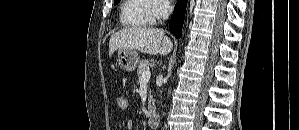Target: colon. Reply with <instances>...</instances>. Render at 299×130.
Instances as JSON below:
<instances>
[{
	"mask_svg": "<svg viewBox=\"0 0 299 130\" xmlns=\"http://www.w3.org/2000/svg\"><path fill=\"white\" fill-rule=\"evenodd\" d=\"M117 105L121 110H126L128 107V99L124 95H120L117 98Z\"/></svg>",
	"mask_w": 299,
	"mask_h": 130,
	"instance_id": "5ec220e1",
	"label": "colon"
}]
</instances>
